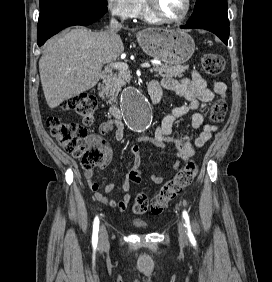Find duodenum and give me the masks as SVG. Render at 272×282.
Returning <instances> with one entry per match:
<instances>
[{
  "label": "duodenum",
  "instance_id": "1",
  "mask_svg": "<svg viewBox=\"0 0 272 282\" xmlns=\"http://www.w3.org/2000/svg\"><path fill=\"white\" fill-rule=\"evenodd\" d=\"M113 70L107 69L104 70L101 76V80L103 83H107L112 79ZM147 92L150 96L151 103L153 105L158 104L161 101L162 97V87L157 80H149L147 83ZM108 114L115 119H120L122 116V112L120 107L115 102H110L108 106Z\"/></svg>",
  "mask_w": 272,
  "mask_h": 282
}]
</instances>
